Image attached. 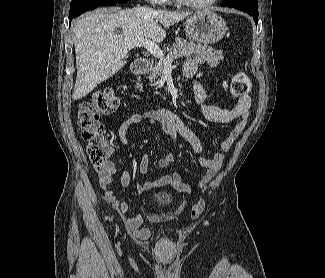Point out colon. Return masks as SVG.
Instances as JSON below:
<instances>
[{
  "label": "colon",
  "mask_w": 325,
  "mask_h": 278,
  "mask_svg": "<svg viewBox=\"0 0 325 278\" xmlns=\"http://www.w3.org/2000/svg\"><path fill=\"white\" fill-rule=\"evenodd\" d=\"M251 87L249 78L243 72L234 74L231 91L235 96L248 93ZM121 105V99L111 90L94 93L89 99L82 101L77 111V123L82 138L88 143L87 155L93 167L101 170L105 167L113 145L105 138V129L99 121L100 115L110 114ZM197 211V210H196Z\"/></svg>",
  "instance_id": "colon-1"
}]
</instances>
